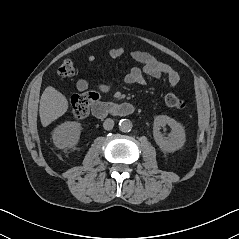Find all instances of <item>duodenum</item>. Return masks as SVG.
<instances>
[{"instance_id":"1","label":"duodenum","mask_w":239,"mask_h":239,"mask_svg":"<svg viewBox=\"0 0 239 239\" xmlns=\"http://www.w3.org/2000/svg\"><path fill=\"white\" fill-rule=\"evenodd\" d=\"M136 110V107L130 103H102L96 102L92 104L91 111L97 119H103L108 115L129 116Z\"/></svg>"}]
</instances>
